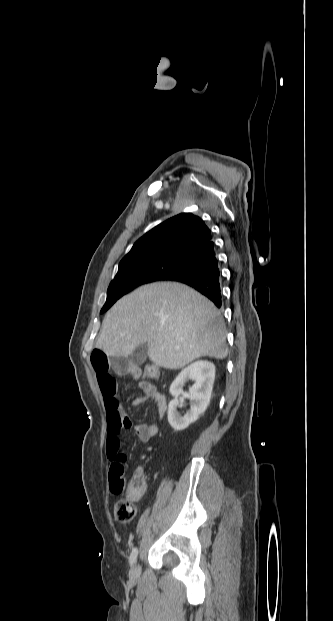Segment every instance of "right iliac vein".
Masks as SVG:
<instances>
[{
  "mask_svg": "<svg viewBox=\"0 0 333 621\" xmlns=\"http://www.w3.org/2000/svg\"><path fill=\"white\" fill-rule=\"evenodd\" d=\"M140 574V565L139 563H135L131 569V577L132 579H137Z\"/></svg>",
  "mask_w": 333,
  "mask_h": 621,
  "instance_id": "right-iliac-vein-1",
  "label": "right iliac vein"
}]
</instances>
